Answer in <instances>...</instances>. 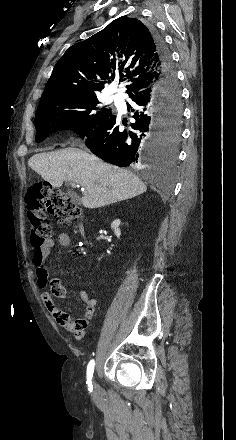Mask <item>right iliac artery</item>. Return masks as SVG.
<instances>
[{
	"label": "right iliac artery",
	"mask_w": 236,
	"mask_h": 440,
	"mask_svg": "<svg viewBox=\"0 0 236 440\" xmlns=\"http://www.w3.org/2000/svg\"><path fill=\"white\" fill-rule=\"evenodd\" d=\"M94 366H95V361L92 359L87 366V385H88V390L91 392L93 390V385L91 380L94 373Z\"/></svg>",
	"instance_id": "82829eb1"
}]
</instances>
